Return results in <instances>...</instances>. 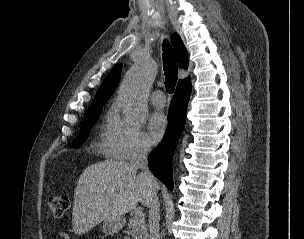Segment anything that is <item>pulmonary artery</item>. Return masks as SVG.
Returning a JSON list of instances; mask_svg holds the SVG:
<instances>
[{"label": "pulmonary artery", "mask_w": 304, "mask_h": 239, "mask_svg": "<svg viewBox=\"0 0 304 239\" xmlns=\"http://www.w3.org/2000/svg\"><path fill=\"white\" fill-rule=\"evenodd\" d=\"M150 100L153 105L158 106V107H162L166 103L165 95L161 90H156V91L152 92V94L150 96Z\"/></svg>", "instance_id": "obj_1"}]
</instances>
